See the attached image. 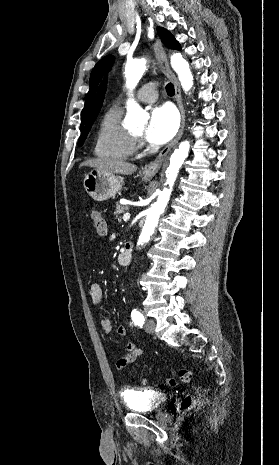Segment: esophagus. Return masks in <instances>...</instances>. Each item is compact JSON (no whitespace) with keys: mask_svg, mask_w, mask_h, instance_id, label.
<instances>
[{"mask_svg":"<svg viewBox=\"0 0 279 465\" xmlns=\"http://www.w3.org/2000/svg\"><path fill=\"white\" fill-rule=\"evenodd\" d=\"M154 52L156 59L160 65V68L162 72L173 82L174 87H175V98L177 101L178 108L181 113V125L178 134L174 138V140L169 143L161 152L158 154L155 160L151 161L150 163L146 164L142 170V173L146 177H153L156 175V173L159 171L161 165L163 164L167 154L170 152V150L178 143L180 140L183 131H184V126H185V110L184 106L182 103V98H181V91H180V86L178 83V80L175 76V74L171 71L169 67V62L167 59V56L165 54V51L163 49L161 41L157 38L153 44Z\"/></svg>","mask_w":279,"mask_h":465,"instance_id":"34e87169","label":"esophagus"}]
</instances>
